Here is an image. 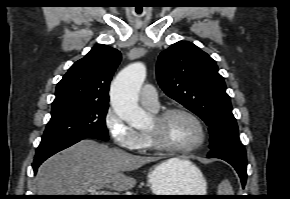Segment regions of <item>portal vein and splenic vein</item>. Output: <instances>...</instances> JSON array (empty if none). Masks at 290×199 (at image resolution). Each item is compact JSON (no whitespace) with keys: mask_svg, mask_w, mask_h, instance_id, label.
Returning a JSON list of instances; mask_svg holds the SVG:
<instances>
[{"mask_svg":"<svg viewBox=\"0 0 290 199\" xmlns=\"http://www.w3.org/2000/svg\"><path fill=\"white\" fill-rule=\"evenodd\" d=\"M89 192L91 195H114L115 194L106 190H99V191L89 190Z\"/></svg>","mask_w":290,"mask_h":199,"instance_id":"obj_1","label":"portal vein and splenic vein"}]
</instances>
